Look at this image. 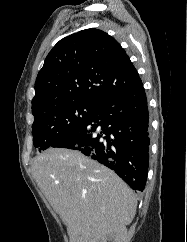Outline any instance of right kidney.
<instances>
[{
  "label": "right kidney",
  "mask_w": 187,
  "mask_h": 242,
  "mask_svg": "<svg viewBox=\"0 0 187 242\" xmlns=\"http://www.w3.org/2000/svg\"><path fill=\"white\" fill-rule=\"evenodd\" d=\"M128 242L127 240V229L126 227H121L114 232L110 233L106 237L94 240L93 242Z\"/></svg>",
  "instance_id": "right-kidney-1"
}]
</instances>
